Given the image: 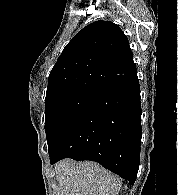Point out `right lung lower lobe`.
<instances>
[{
  "label": "right lung lower lobe",
  "instance_id": "1",
  "mask_svg": "<svg viewBox=\"0 0 178 195\" xmlns=\"http://www.w3.org/2000/svg\"><path fill=\"white\" fill-rule=\"evenodd\" d=\"M141 103L137 74L99 91L77 125L51 153L91 160L134 184L140 162Z\"/></svg>",
  "mask_w": 178,
  "mask_h": 195
}]
</instances>
